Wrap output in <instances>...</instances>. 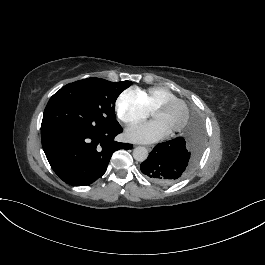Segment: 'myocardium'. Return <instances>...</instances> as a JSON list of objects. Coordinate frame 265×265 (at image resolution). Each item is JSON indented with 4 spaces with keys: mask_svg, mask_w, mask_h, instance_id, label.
<instances>
[{
    "mask_svg": "<svg viewBox=\"0 0 265 265\" xmlns=\"http://www.w3.org/2000/svg\"><path fill=\"white\" fill-rule=\"evenodd\" d=\"M173 103H177L182 107L183 113H182V117L179 120L178 123H176L170 130L169 132H178L181 131L187 124V121L189 119V108L187 106V104L179 98L176 97H170V98H166L161 100L160 102H158L152 109L151 111V116H153L158 110L165 108Z\"/></svg>",
    "mask_w": 265,
    "mask_h": 265,
    "instance_id": "1",
    "label": "myocardium"
}]
</instances>
